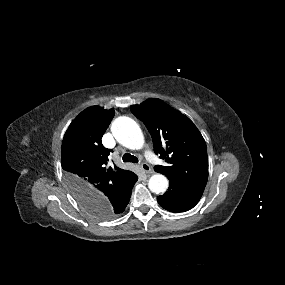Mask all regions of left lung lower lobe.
<instances>
[{
    "mask_svg": "<svg viewBox=\"0 0 285 285\" xmlns=\"http://www.w3.org/2000/svg\"><path fill=\"white\" fill-rule=\"evenodd\" d=\"M166 193L157 197L161 207L171 212H185L192 209L200 200L204 188L188 185L169 179Z\"/></svg>",
    "mask_w": 285,
    "mask_h": 285,
    "instance_id": "1",
    "label": "left lung lower lobe"
}]
</instances>
